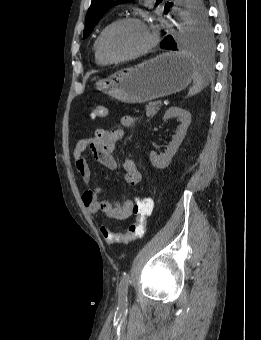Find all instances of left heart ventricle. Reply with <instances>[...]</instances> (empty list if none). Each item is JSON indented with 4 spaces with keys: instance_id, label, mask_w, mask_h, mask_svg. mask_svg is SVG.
Masks as SVG:
<instances>
[{
    "instance_id": "1",
    "label": "left heart ventricle",
    "mask_w": 261,
    "mask_h": 340,
    "mask_svg": "<svg viewBox=\"0 0 261 340\" xmlns=\"http://www.w3.org/2000/svg\"><path fill=\"white\" fill-rule=\"evenodd\" d=\"M149 40V34L142 25L127 23L108 35L106 49L114 56L130 55L144 48Z\"/></svg>"
}]
</instances>
